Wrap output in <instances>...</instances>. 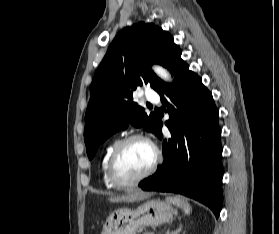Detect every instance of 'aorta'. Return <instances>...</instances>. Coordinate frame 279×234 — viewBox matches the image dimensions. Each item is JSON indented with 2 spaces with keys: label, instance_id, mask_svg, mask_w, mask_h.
<instances>
[{
  "label": "aorta",
  "instance_id": "762f6f07",
  "mask_svg": "<svg viewBox=\"0 0 279 234\" xmlns=\"http://www.w3.org/2000/svg\"><path fill=\"white\" fill-rule=\"evenodd\" d=\"M153 70L164 81L168 82V81L171 80L170 73L166 69H164L163 67H161V66H154Z\"/></svg>",
  "mask_w": 279,
  "mask_h": 234
}]
</instances>
